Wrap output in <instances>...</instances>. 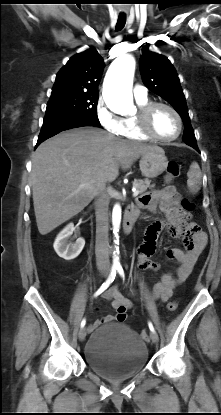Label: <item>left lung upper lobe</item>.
<instances>
[{
    "instance_id": "5c2ea615",
    "label": "left lung upper lobe",
    "mask_w": 221,
    "mask_h": 415,
    "mask_svg": "<svg viewBox=\"0 0 221 415\" xmlns=\"http://www.w3.org/2000/svg\"><path fill=\"white\" fill-rule=\"evenodd\" d=\"M140 72L144 85L165 99L181 116L185 126L182 140L186 144L195 143L185 96L171 62L163 55L144 50L140 57Z\"/></svg>"
}]
</instances>
